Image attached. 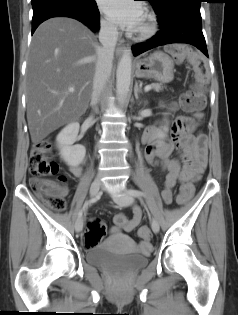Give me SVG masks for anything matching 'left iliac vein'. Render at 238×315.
Instances as JSON below:
<instances>
[{
  "mask_svg": "<svg viewBox=\"0 0 238 315\" xmlns=\"http://www.w3.org/2000/svg\"><path fill=\"white\" fill-rule=\"evenodd\" d=\"M111 196L114 202L122 206H127L133 202V197L126 192H122V191L112 192ZM151 228L154 233L159 232V229H160L159 223L155 218H152L151 220Z\"/></svg>",
  "mask_w": 238,
  "mask_h": 315,
  "instance_id": "1",
  "label": "left iliac vein"
}]
</instances>
